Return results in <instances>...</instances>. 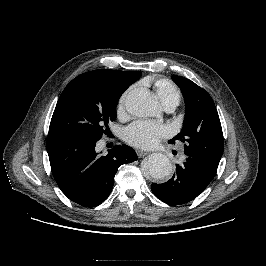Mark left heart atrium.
<instances>
[{
    "mask_svg": "<svg viewBox=\"0 0 266 266\" xmlns=\"http://www.w3.org/2000/svg\"><path fill=\"white\" fill-rule=\"evenodd\" d=\"M168 134V127L149 120L134 121L124 130L126 142L143 149L155 146L161 138Z\"/></svg>",
    "mask_w": 266,
    "mask_h": 266,
    "instance_id": "39dd6f15",
    "label": "left heart atrium"
}]
</instances>
